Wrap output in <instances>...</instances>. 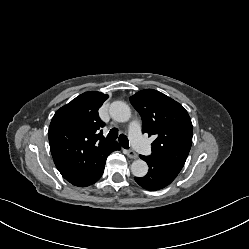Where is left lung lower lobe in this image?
Segmentation results:
<instances>
[{
  "label": "left lung lower lobe",
  "mask_w": 249,
  "mask_h": 249,
  "mask_svg": "<svg viewBox=\"0 0 249 249\" xmlns=\"http://www.w3.org/2000/svg\"><path fill=\"white\" fill-rule=\"evenodd\" d=\"M140 158L147 162L149 171L144 177H135V181L147 190L154 191L162 189L169 185L178 175L174 171L160 167L147 156L140 155Z\"/></svg>",
  "instance_id": "1"
}]
</instances>
